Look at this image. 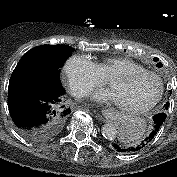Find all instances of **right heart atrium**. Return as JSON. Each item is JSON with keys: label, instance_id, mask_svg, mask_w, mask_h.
Returning <instances> with one entry per match:
<instances>
[{"label": "right heart atrium", "instance_id": "d8ad5b80", "mask_svg": "<svg viewBox=\"0 0 177 177\" xmlns=\"http://www.w3.org/2000/svg\"><path fill=\"white\" fill-rule=\"evenodd\" d=\"M64 72L70 90L77 97L87 96L104 84V77L96 63L86 55L71 56L65 63Z\"/></svg>", "mask_w": 177, "mask_h": 177}]
</instances>
